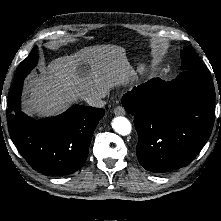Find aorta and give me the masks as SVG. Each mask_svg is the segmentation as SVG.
<instances>
[{
	"label": "aorta",
	"mask_w": 221,
	"mask_h": 221,
	"mask_svg": "<svg viewBox=\"0 0 221 221\" xmlns=\"http://www.w3.org/2000/svg\"><path fill=\"white\" fill-rule=\"evenodd\" d=\"M112 127L115 132L123 136L130 134L132 129L130 121L123 116L115 117L112 121Z\"/></svg>",
	"instance_id": "obj_1"
}]
</instances>
